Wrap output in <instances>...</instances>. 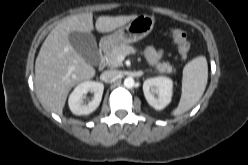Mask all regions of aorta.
Segmentation results:
<instances>
[{
	"mask_svg": "<svg viewBox=\"0 0 248 165\" xmlns=\"http://www.w3.org/2000/svg\"><path fill=\"white\" fill-rule=\"evenodd\" d=\"M134 85H135V81H134V79L132 77L125 78L124 86L126 88H132V87H134Z\"/></svg>",
	"mask_w": 248,
	"mask_h": 165,
	"instance_id": "aorta-1",
	"label": "aorta"
}]
</instances>
